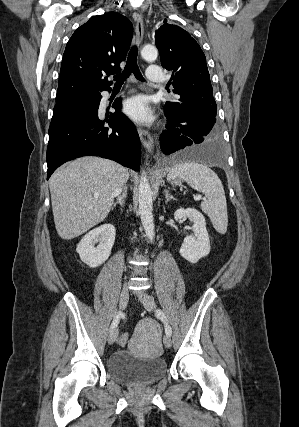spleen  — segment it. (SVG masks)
<instances>
[{
	"mask_svg": "<svg viewBox=\"0 0 299 427\" xmlns=\"http://www.w3.org/2000/svg\"><path fill=\"white\" fill-rule=\"evenodd\" d=\"M168 178H182L193 189L205 194L206 199L201 203L202 211L208 215L218 233H226L228 215L225 192L213 170L194 161L182 162L172 167Z\"/></svg>",
	"mask_w": 299,
	"mask_h": 427,
	"instance_id": "obj_1",
	"label": "spleen"
}]
</instances>
